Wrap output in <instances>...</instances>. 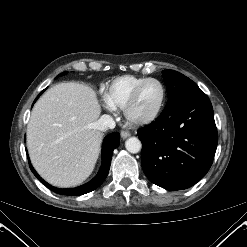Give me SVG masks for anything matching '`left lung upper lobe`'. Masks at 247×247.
Masks as SVG:
<instances>
[{
	"mask_svg": "<svg viewBox=\"0 0 247 247\" xmlns=\"http://www.w3.org/2000/svg\"><path fill=\"white\" fill-rule=\"evenodd\" d=\"M168 92V101L180 94L200 89L195 82L174 70L163 71Z\"/></svg>",
	"mask_w": 247,
	"mask_h": 247,
	"instance_id": "left-lung-upper-lobe-1",
	"label": "left lung upper lobe"
}]
</instances>
